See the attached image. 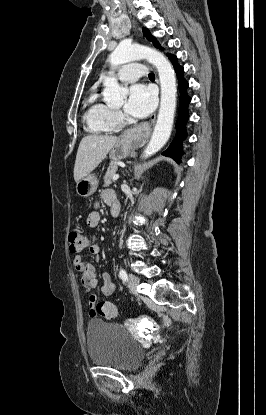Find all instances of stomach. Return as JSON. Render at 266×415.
<instances>
[{"label": "stomach", "instance_id": "obj_1", "mask_svg": "<svg viewBox=\"0 0 266 415\" xmlns=\"http://www.w3.org/2000/svg\"><path fill=\"white\" fill-rule=\"evenodd\" d=\"M134 145L135 139H119L110 150V158L114 161H119L126 158ZM97 187V175L90 173L77 182L76 192L79 196L87 198L96 191Z\"/></svg>", "mask_w": 266, "mask_h": 415}]
</instances>
